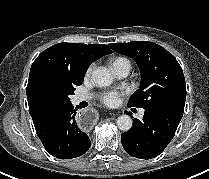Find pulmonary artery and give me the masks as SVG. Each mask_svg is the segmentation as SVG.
<instances>
[{"mask_svg":"<svg viewBox=\"0 0 209 179\" xmlns=\"http://www.w3.org/2000/svg\"><path fill=\"white\" fill-rule=\"evenodd\" d=\"M130 69H131V66H129L127 64H122V63L115 64L112 66V70H113L114 74L116 75V77H118V78L126 77L129 74ZM87 99H89V96L84 95V94H79L74 97V101L76 103H80V102L85 101ZM139 114H140V116H143L144 111L141 110Z\"/></svg>","mask_w":209,"mask_h":179,"instance_id":"1","label":"pulmonary artery"}]
</instances>
